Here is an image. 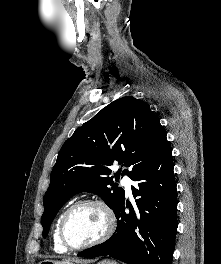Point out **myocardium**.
Instances as JSON below:
<instances>
[{"label":"myocardium","instance_id":"obj_1","mask_svg":"<svg viewBox=\"0 0 221 264\" xmlns=\"http://www.w3.org/2000/svg\"><path fill=\"white\" fill-rule=\"evenodd\" d=\"M84 205H92V206H96L97 208H99L104 214V217L106 220V227H105L104 233L96 240L90 243H87V244L76 246V245H72L66 237V233H65L66 221H67L68 216L74 209L80 206H84ZM115 228H116V216H115L113 209L110 207V205L106 203L104 200L99 199V198H85L69 206L66 209V211L62 214L60 223H59V238L63 246L67 248L68 250L79 251V250L92 248V247H95L97 245L104 243L112 236V234L115 231Z\"/></svg>","mask_w":221,"mask_h":264}]
</instances>
